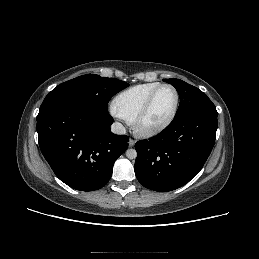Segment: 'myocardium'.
<instances>
[{
  "mask_svg": "<svg viewBox=\"0 0 259 259\" xmlns=\"http://www.w3.org/2000/svg\"><path fill=\"white\" fill-rule=\"evenodd\" d=\"M162 88H170L174 92L175 103H174L173 109H172L170 115L164 121L159 123L158 125L146 126L145 120L151 110L152 104L154 102V99H155L157 93ZM179 103H180V96H179V92L177 91V89L173 85L168 84V83L160 84L149 95L143 108L141 109V111L139 112V114L137 115V117L134 121V128H135V131L137 132V134H139L140 136H144V137H152V136L158 135L161 132H163L175 119L178 109H179Z\"/></svg>",
  "mask_w": 259,
  "mask_h": 259,
  "instance_id": "1",
  "label": "myocardium"
}]
</instances>
